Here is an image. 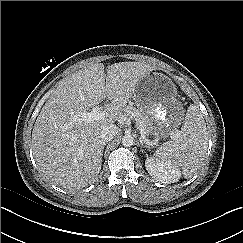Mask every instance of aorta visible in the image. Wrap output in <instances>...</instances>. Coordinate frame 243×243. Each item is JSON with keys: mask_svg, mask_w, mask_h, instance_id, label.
Returning <instances> with one entry per match:
<instances>
[{"mask_svg": "<svg viewBox=\"0 0 243 243\" xmlns=\"http://www.w3.org/2000/svg\"><path fill=\"white\" fill-rule=\"evenodd\" d=\"M122 144L126 147H130L134 144V138L133 136L127 134V135H124L123 138H122Z\"/></svg>", "mask_w": 243, "mask_h": 243, "instance_id": "762f6f07", "label": "aorta"}]
</instances>
